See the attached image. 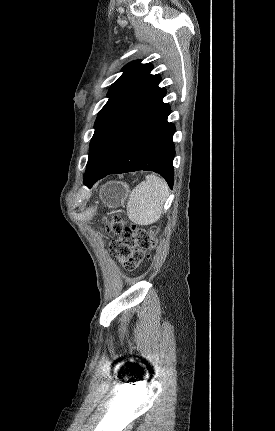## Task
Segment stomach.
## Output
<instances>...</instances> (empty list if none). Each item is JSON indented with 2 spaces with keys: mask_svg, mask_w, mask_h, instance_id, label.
Segmentation results:
<instances>
[{
  "mask_svg": "<svg viewBox=\"0 0 275 431\" xmlns=\"http://www.w3.org/2000/svg\"><path fill=\"white\" fill-rule=\"evenodd\" d=\"M129 187L120 182H110L102 187L100 197L109 208H117L124 203Z\"/></svg>",
  "mask_w": 275,
  "mask_h": 431,
  "instance_id": "0dacf381",
  "label": "stomach"
}]
</instances>
